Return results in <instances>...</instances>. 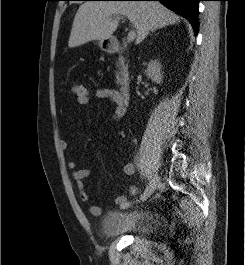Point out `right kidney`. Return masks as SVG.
Returning a JSON list of instances; mask_svg holds the SVG:
<instances>
[{"label": "right kidney", "instance_id": "right-kidney-1", "mask_svg": "<svg viewBox=\"0 0 245 265\" xmlns=\"http://www.w3.org/2000/svg\"><path fill=\"white\" fill-rule=\"evenodd\" d=\"M146 75L157 84H160L163 80L161 72V64L157 60H151L145 70Z\"/></svg>", "mask_w": 245, "mask_h": 265}]
</instances>
